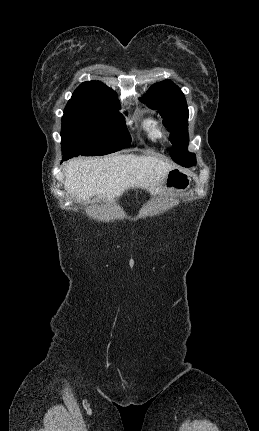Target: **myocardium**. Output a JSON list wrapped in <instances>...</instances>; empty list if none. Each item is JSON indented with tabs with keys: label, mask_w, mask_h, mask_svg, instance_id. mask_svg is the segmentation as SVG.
Segmentation results:
<instances>
[{
	"label": "myocardium",
	"mask_w": 259,
	"mask_h": 431,
	"mask_svg": "<svg viewBox=\"0 0 259 431\" xmlns=\"http://www.w3.org/2000/svg\"><path fill=\"white\" fill-rule=\"evenodd\" d=\"M163 133L165 136H167L169 134L168 130H166V129H164Z\"/></svg>",
	"instance_id": "myocardium-1"
}]
</instances>
